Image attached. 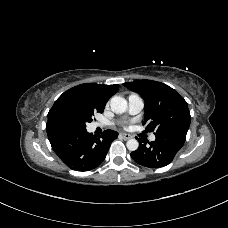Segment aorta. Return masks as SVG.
I'll list each match as a JSON object with an SVG mask.
<instances>
[{
    "label": "aorta",
    "instance_id": "762f6f07",
    "mask_svg": "<svg viewBox=\"0 0 228 228\" xmlns=\"http://www.w3.org/2000/svg\"><path fill=\"white\" fill-rule=\"evenodd\" d=\"M110 107L114 113L122 114V113L126 112L128 104L124 98H122L120 96H114L110 100ZM126 146H127L128 150L136 151L139 147V143L136 139H130L127 141Z\"/></svg>",
    "mask_w": 228,
    "mask_h": 228
}]
</instances>
